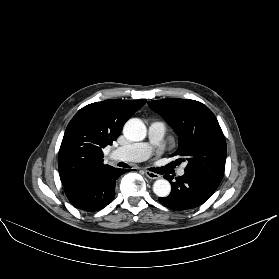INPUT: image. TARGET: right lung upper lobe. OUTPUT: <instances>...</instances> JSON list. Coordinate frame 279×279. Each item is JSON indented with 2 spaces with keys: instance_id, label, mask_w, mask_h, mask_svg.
<instances>
[{
  "instance_id": "right-lung-upper-lobe-1",
  "label": "right lung upper lobe",
  "mask_w": 279,
  "mask_h": 279,
  "mask_svg": "<svg viewBox=\"0 0 279 279\" xmlns=\"http://www.w3.org/2000/svg\"><path fill=\"white\" fill-rule=\"evenodd\" d=\"M146 100H106L80 109L68 124L58 155L65 190L114 170L103 163V151L120 135L126 121Z\"/></svg>"
}]
</instances>
